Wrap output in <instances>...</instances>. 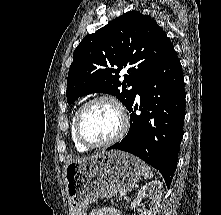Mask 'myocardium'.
I'll list each match as a JSON object with an SVG mask.
<instances>
[{"mask_svg":"<svg viewBox=\"0 0 221 215\" xmlns=\"http://www.w3.org/2000/svg\"><path fill=\"white\" fill-rule=\"evenodd\" d=\"M100 101H108L116 107L121 118V125L117 133L110 139L102 141V142H93V141L88 140L83 135L81 124H82V119L86 110L92 104L100 102ZM128 127H129V117L124 106L121 104V102L118 99H116L115 97L111 95H99L86 101L77 110L75 121H74V132H75L76 139L78 140L80 144L88 148H102V147L110 146L118 142L126 134Z\"/></svg>","mask_w":221,"mask_h":215,"instance_id":"myocardium-1","label":"myocardium"}]
</instances>
